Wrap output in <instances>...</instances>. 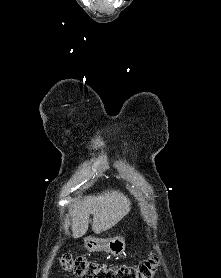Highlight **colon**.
Returning a JSON list of instances; mask_svg holds the SVG:
<instances>
[{
    "label": "colon",
    "instance_id": "1",
    "mask_svg": "<svg viewBox=\"0 0 221 278\" xmlns=\"http://www.w3.org/2000/svg\"><path fill=\"white\" fill-rule=\"evenodd\" d=\"M62 266L81 278H154L157 271L156 258H149L137 266H107L83 257L64 254Z\"/></svg>",
    "mask_w": 221,
    "mask_h": 278
}]
</instances>
